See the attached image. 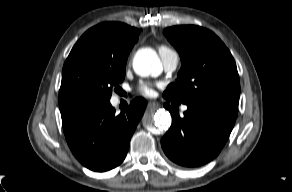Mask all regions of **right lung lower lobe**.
<instances>
[{
    "mask_svg": "<svg viewBox=\"0 0 292 192\" xmlns=\"http://www.w3.org/2000/svg\"><path fill=\"white\" fill-rule=\"evenodd\" d=\"M146 105L144 99L136 98L116 114L110 100L75 94L59 96L63 130L74 156L93 171L117 167L126 157Z\"/></svg>",
    "mask_w": 292,
    "mask_h": 192,
    "instance_id": "1",
    "label": "right lung lower lobe"
}]
</instances>
